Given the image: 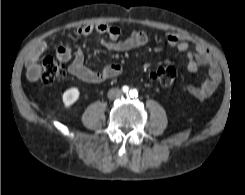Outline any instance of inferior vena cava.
<instances>
[{
  "instance_id": "inferior-vena-cava-1",
  "label": "inferior vena cava",
  "mask_w": 245,
  "mask_h": 195,
  "mask_svg": "<svg viewBox=\"0 0 245 195\" xmlns=\"http://www.w3.org/2000/svg\"><path fill=\"white\" fill-rule=\"evenodd\" d=\"M123 95V92L122 90L120 89H110L109 92H108V98L109 99H115V98H119Z\"/></svg>"
}]
</instances>
